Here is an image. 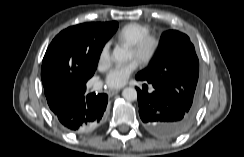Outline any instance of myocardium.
<instances>
[{"label": "myocardium", "instance_id": "1", "mask_svg": "<svg viewBox=\"0 0 244 157\" xmlns=\"http://www.w3.org/2000/svg\"><path fill=\"white\" fill-rule=\"evenodd\" d=\"M161 46V38L156 34L149 33L130 46L141 64L150 63L157 55Z\"/></svg>", "mask_w": 244, "mask_h": 157}]
</instances>
